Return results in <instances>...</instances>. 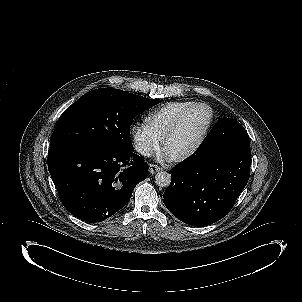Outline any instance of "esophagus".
I'll list each match as a JSON object with an SVG mask.
<instances>
[{"label": "esophagus", "mask_w": 302, "mask_h": 302, "mask_svg": "<svg viewBox=\"0 0 302 302\" xmlns=\"http://www.w3.org/2000/svg\"><path fill=\"white\" fill-rule=\"evenodd\" d=\"M160 170H161L160 166H158L156 164H150V167H149L150 173L154 174Z\"/></svg>", "instance_id": "obj_1"}]
</instances>
